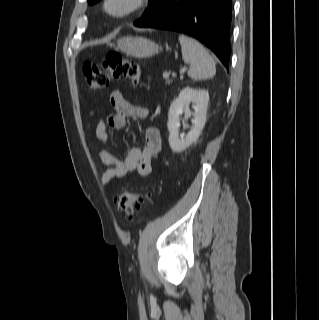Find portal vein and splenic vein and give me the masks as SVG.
I'll return each mask as SVG.
<instances>
[{"label":"portal vein and splenic vein","instance_id":"18ae733b","mask_svg":"<svg viewBox=\"0 0 319 320\" xmlns=\"http://www.w3.org/2000/svg\"><path fill=\"white\" fill-rule=\"evenodd\" d=\"M170 76V74L168 72H164L163 73V78L168 79Z\"/></svg>","mask_w":319,"mask_h":320}]
</instances>
